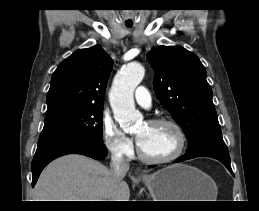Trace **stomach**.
Segmentation results:
<instances>
[{
    "instance_id": "stomach-1",
    "label": "stomach",
    "mask_w": 259,
    "mask_h": 211,
    "mask_svg": "<svg viewBox=\"0 0 259 211\" xmlns=\"http://www.w3.org/2000/svg\"><path fill=\"white\" fill-rule=\"evenodd\" d=\"M154 201H214L215 182L199 169L178 164L143 178Z\"/></svg>"
}]
</instances>
